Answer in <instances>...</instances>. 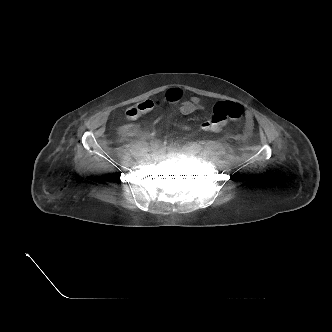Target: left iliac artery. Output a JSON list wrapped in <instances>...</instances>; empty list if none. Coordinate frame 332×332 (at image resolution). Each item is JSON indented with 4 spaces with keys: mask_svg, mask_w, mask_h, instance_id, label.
Returning <instances> with one entry per match:
<instances>
[{
    "mask_svg": "<svg viewBox=\"0 0 332 332\" xmlns=\"http://www.w3.org/2000/svg\"><path fill=\"white\" fill-rule=\"evenodd\" d=\"M191 148L194 151V153H201L203 151V147L200 144L197 143H191Z\"/></svg>",
    "mask_w": 332,
    "mask_h": 332,
    "instance_id": "obj_1",
    "label": "left iliac artery"
}]
</instances>
